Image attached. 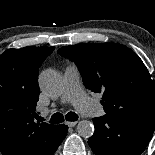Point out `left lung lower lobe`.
Instances as JSON below:
<instances>
[{
    "label": "left lung lower lobe",
    "instance_id": "left-lung-lower-lobe-1",
    "mask_svg": "<svg viewBox=\"0 0 155 155\" xmlns=\"http://www.w3.org/2000/svg\"><path fill=\"white\" fill-rule=\"evenodd\" d=\"M88 144L96 155H140L155 129V116L94 118Z\"/></svg>",
    "mask_w": 155,
    "mask_h": 155
}]
</instances>
